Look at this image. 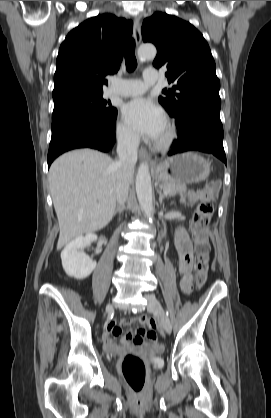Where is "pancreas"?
<instances>
[{
	"label": "pancreas",
	"instance_id": "pancreas-1",
	"mask_svg": "<svg viewBox=\"0 0 271 418\" xmlns=\"http://www.w3.org/2000/svg\"><path fill=\"white\" fill-rule=\"evenodd\" d=\"M160 188L163 190H169L170 192L167 194V196H175L176 194H181L186 191V185L185 184H176V183H162L160 185Z\"/></svg>",
	"mask_w": 271,
	"mask_h": 418
}]
</instances>
